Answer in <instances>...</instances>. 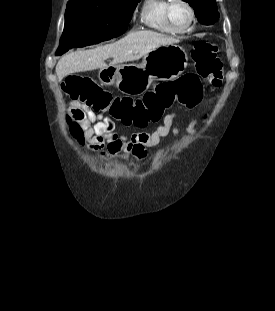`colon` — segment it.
Returning <instances> with one entry per match:
<instances>
[{"mask_svg":"<svg viewBox=\"0 0 275 311\" xmlns=\"http://www.w3.org/2000/svg\"><path fill=\"white\" fill-rule=\"evenodd\" d=\"M218 52V45L198 41L192 51L196 73H187L176 80L159 83L139 99L113 97L90 77L83 75L68 76L63 83V90L72 102L92 107L96 112H107L111 121L120 119L124 125L149 129L150 122L161 121L164 111L174 104L188 108L199 105L202 99L200 78L211 79L221 73L222 62ZM80 132L77 128L76 134L80 135Z\"/></svg>","mask_w":275,"mask_h":311,"instance_id":"5ec220e1","label":"colon"}]
</instances>
